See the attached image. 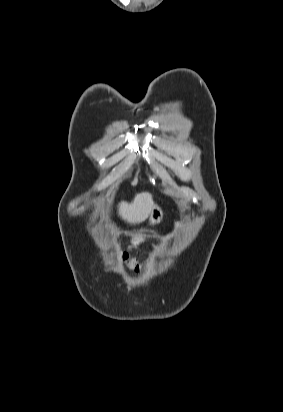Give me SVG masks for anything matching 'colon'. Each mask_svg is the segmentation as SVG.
I'll return each mask as SVG.
<instances>
[{"label":"colon","instance_id":"5ec220e1","mask_svg":"<svg viewBox=\"0 0 283 412\" xmlns=\"http://www.w3.org/2000/svg\"><path fill=\"white\" fill-rule=\"evenodd\" d=\"M121 258L123 263L132 272H139L143 268V265L137 260L129 259L126 255H122Z\"/></svg>","mask_w":283,"mask_h":412}]
</instances>
